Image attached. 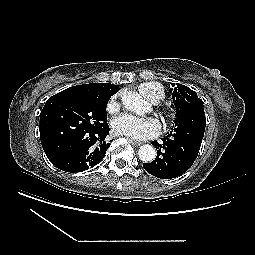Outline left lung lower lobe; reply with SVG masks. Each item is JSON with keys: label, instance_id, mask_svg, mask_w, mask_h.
<instances>
[{"label": "left lung lower lobe", "instance_id": "1", "mask_svg": "<svg viewBox=\"0 0 255 255\" xmlns=\"http://www.w3.org/2000/svg\"><path fill=\"white\" fill-rule=\"evenodd\" d=\"M194 121L172 128L161 144L152 142L158 151L153 162L143 163L148 173L161 179H171L182 175L193 165L204 136L205 113Z\"/></svg>", "mask_w": 255, "mask_h": 255}]
</instances>
